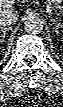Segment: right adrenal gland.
Returning <instances> with one entry per match:
<instances>
[{"instance_id":"right-adrenal-gland-1","label":"right adrenal gland","mask_w":63,"mask_h":107,"mask_svg":"<svg viewBox=\"0 0 63 107\" xmlns=\"http://www.w3.org/2000/svg\"><path fill=\"white\" fill-rule=\"evenodd\" d=\"M11 29V27H6V28H0V37L2 38L1 39V42L3 43L4 42V38L6 36V32L9 31Z\"/></svg>"}]
</instances>
